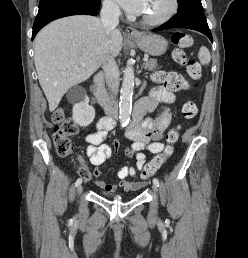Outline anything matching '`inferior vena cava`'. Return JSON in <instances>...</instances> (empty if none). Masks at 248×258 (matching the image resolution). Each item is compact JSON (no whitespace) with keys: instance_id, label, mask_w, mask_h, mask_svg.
<instances>
[{"instance_id":"obj_1","label":"inferior vena cava","mask_w":248,"mask_h":258,"mask_svg":"<svg viewBox=\"0 0 248 258\" xmlns=\"http://www.w3.org/2000/svg\"><path fill=\"white\" fill-rule=\"evenodd\" d=\"M121 15L119 7L109 1L103 2V7L101 9V22L104 27L105 33L109 36L111 32L119 24V16ZM103 70L105 73V79L107 86L111 92L112 98L118 93L119 81H118V67L115 61V58L109 50L106 51L104 61H103Z\"/></svg>"}]
</instances>
